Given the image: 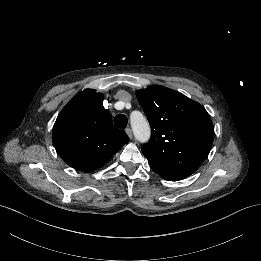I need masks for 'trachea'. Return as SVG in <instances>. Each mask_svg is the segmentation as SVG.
<instances>
[{
  "mask_svg": "<svg viewBox=\"0 0 261 261\" xmlns=\"http://www.w3.org/2000/svg\"><path fill=\"white\" fill-rule=\"evenodd\" d=\"M114 124L121 129L126 128L127 124H128V119L126 117V115L124 114H118L115 118H114Z\"/></svg>",
  "mask_w": 261,
  "mask_h": 261,
  "instance_id": "1",
  "label": "trachea"
}]
</instances>
